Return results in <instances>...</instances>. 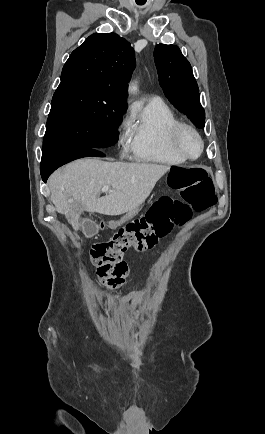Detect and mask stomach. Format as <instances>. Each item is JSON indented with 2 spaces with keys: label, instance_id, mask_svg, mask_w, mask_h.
<instances>
[{
  "label": "stomach",
  "instance_id": "0dacf381",
  "mask_svg": "<svg viewBox=\"0 0 265 434\" xmlns=\"http://www.w3.org/2000/svg\"><path fill=\"white\" fill-rule=\"evenodd\" d=\"M139 212V208H135V210H131V212H128V214H126V216H124V220H131V218H134V216H136V214H138ZM121 224V222H120ZM114 226H117V224H114ZM110 229H113V226H110Z\"/></svg>",
  "mask_w": 265,
  "mask_h": 434
}]
</instances>
